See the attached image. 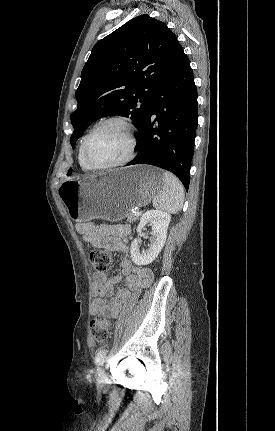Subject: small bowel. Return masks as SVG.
Segmentation results:
<instances>
[{
    "label": "small bowel",
    "mask_w": 275,
    "mask_h": 431,
    "mask_svg": "<svg viewBox=\"0 0 275 431\" xmlns=\"http://www.w3.org/2000/svg\"><path fill=\"white\" fill-rule=\"evenodd\" d=\"M76 230L93 247L109 252H120L123 255L119 274L108 277L105 272H96L94 275L92 289L95 298L91 304V311L95 315L112 319L141 287L149 284L152 273L148 269L134 266L129 259L127 238L131 232L130 225L79 222L76 224ZM123 279L128 288L116 289Z\"/></svg>",
    "instance_id": "c3829d8e"
}]
</instances>
